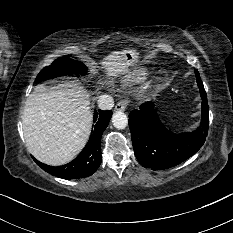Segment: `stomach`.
<instances>
[{
    "label": "stomach",
    "mask_w": 233,
    "mask_h": 233,
    "mask_svg": "<svg viewBox=\"0 0 233 233\" xmlns=\"http://www.w3.org/2000/svg\"><path fill=\"white\" fill-rule=\"evenodd\" d=\"M123 57L126 59V61L128 62V64H134L138 52L135 49H126L120 52Z\"/></svg>",
    "instance_id": "stomach-1"
}]
</instances>
